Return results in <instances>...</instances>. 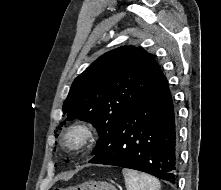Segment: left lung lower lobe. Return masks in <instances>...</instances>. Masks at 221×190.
<instances>
[{
	"mask_svg": "<svg viewBox=\"0 0 221 190\" xmlns=\"http://www.w3.org/2000/svg\"><path fill=\"white\" fill-rule=\"evenodd\" d=\"M89 163L120 166L175 183L178 162L176 112L164 75L107 136Z\"/></svg>",
	"mask_w": 221,
	"mask_h": 190,
	"instance_id": "left-lung-lower-lobe-1",
	"label": "left lung lower lobe"
}]
</instances>
